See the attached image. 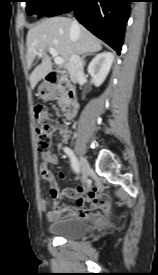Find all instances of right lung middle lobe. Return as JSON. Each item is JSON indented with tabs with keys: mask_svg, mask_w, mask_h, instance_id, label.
<instances>
[{
	"mask_svg": "<svg viewBox=\"0 0 158 275\" xmlns=\"http://www.w3.org/2000/svg\"><path fill=\"white\" fill-rule=\"evenodd\" d=\"M64 0H26L27 13L44 15L50 12L54 7L60 4Z\"/></svg>",
	"mask_w": 158,
	"mask_h": 275,
	"instance_id": "obj_1",
	"label": "right lung middle lobe"
}]
</instances>
